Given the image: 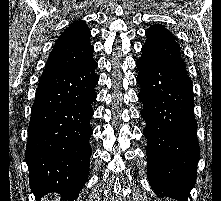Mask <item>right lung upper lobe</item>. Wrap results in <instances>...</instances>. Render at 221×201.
Here are the masks:
<instances>
[{
	"instance_id": "cb5924a9",
	"label": "right lung upper lobe",
	"mask_w": 221,
	"mask_h": 201,
	"mask_svg": "<svg viewBox=\"0 0 221 201\" xmlns=\"http://www.w3.org/2000/svg\"><path fill=\"white\" fill-rule=\"evenodd\" d=\"M91 32L83 21L71 24L58 38L45 69H82L95 63Z\"/></svg>"
}]
</instances>
